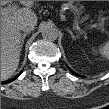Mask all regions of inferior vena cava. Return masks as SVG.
<instances>
[{
    "label": "inferior vena cava",
    "mask_w": 109,
    "mask_h": 109,
    "mask_svg": "<svg viewBox=\"0 0 109 109\" xmlns=\"http://www.w3.org/2000/svg\"><path fill=\"white\" fill-rule=\"evenodd\" d=\"M35 25L32 22L25 21L20 24V29L24 32H31L34 29Z\"/></svg>",
    "instance_id": "602c4592"
}]
</instances>
